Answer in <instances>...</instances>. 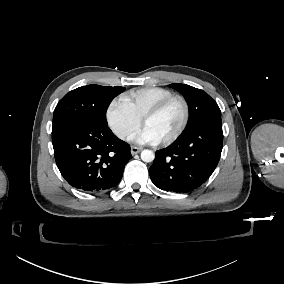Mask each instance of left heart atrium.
I'll list each match as a JSON object with an SVG mask.
<instances>
[{"mask_svg":"<svg viewBox=\"0 0 284 284\" xmlns=\"http://www.w3.org/2000/svg\"><path fill=\"white\" fill-rule=\"evenodd\" d=\"M136 144H156L159 143L158 139L148 128H141L137 130L130 138Z\"/></svg>","mask_w":284,"mask_h":284,"instance_id":"1","label":"left heart atrium"}]
</instances>
